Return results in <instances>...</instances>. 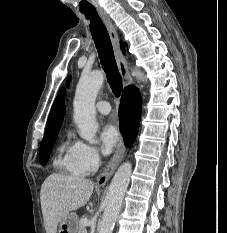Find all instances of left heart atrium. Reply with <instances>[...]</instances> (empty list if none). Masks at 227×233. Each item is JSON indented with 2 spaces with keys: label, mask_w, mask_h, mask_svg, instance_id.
I'll use <instances>...</instances> for the list:
<instances>
[{
  "label": "left heart atrium",
  "mask_w": 227,
  "mask_h": 233,
  "mask_svg": "<svg viewBox=\"0 0 227 233\" xmlns=\"http://www.w3.org/2000/svg\"><path fill=\"white\" fill-rule=\"evenodd\" d=\"M100 140L103 153L106 155L111 153L120 141L117 126L114 123H107L101 130Z\"/></svg>",
  "instance_id": "left-heart-atrium-1"
}]
</instances>
